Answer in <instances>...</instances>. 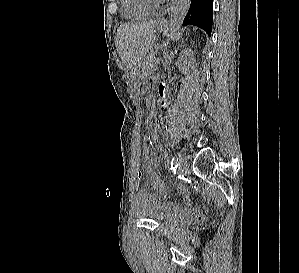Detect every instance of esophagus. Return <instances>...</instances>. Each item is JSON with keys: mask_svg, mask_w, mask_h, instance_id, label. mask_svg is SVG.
Masks as SVG:
<instances>
[{"mask_svg": "<svg viewBox=\"0 0 299 273\" xmlns=\"http://www.w3.org/2000/svg\"><path fill=\"white\" fill-rule=\"evenodd\" d=\"M165 21H166L165 19H161V20H160L161 23H164Z\"/></svg>", "mask_w": 299, "mask_h": 273, "instance_id": "obj_1", "label": "esophagus"}]
</instances>
